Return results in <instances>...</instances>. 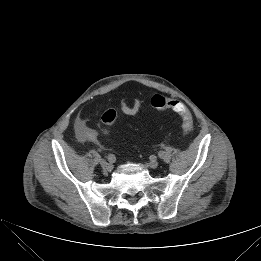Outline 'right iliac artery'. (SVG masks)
Here are the masks:
<instances>
[{"label": "right iliac artery", "instance_id": "82829eb1", "mask_svg": "<svg viewBox=\"0 0 261 261\" xmlns=\"http://www.w3.org/2000/svg\"><path fill=\"white\" fill-rule=\"evenodd\" d=\"M107 160H108L110 163H115L116 157H115V155H113V154H109V155L107 156Z\"/></svg>", "mask_w": 261, "mask_h": 261}]
</instances>
